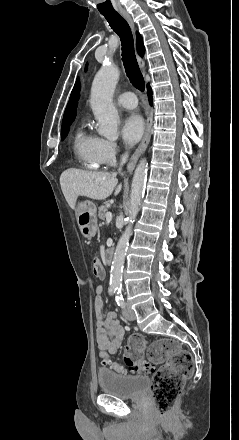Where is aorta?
<instances>
[{
	"label": "aorta",
	"mask_w": 239,
	"mask_h": 440,
	"mask_svg": "<svg viewBox=\"0 0 239 440\" xmlns=\"http://www.w3.org/2000/svg\"><path fill=\"white\" fill-rule=\"evenodd\" d=\"M120 72L113 62L102 66L97 72L90 94V104L92 112L98 120V134L104 136L107 140H118V110L113 106V94L118 84ZM147 176L146 160H141L138 164L131 186L130 206L128 216V226L123 232L113 256L111 266L110 284L113 288L121 290L122 272L124 268L125 256L129 246V240L132 232V224L140 210Z\"/></svg>",
	"instance_id": "762f6f07"
}]
</instances>
